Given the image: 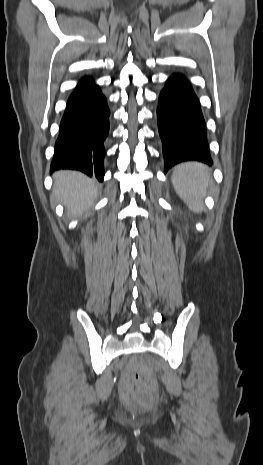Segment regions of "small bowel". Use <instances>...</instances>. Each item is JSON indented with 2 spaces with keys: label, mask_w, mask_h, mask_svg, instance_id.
<instances>
[{
  "label": "small bowel",
  "mask_w": 263,
  "mask_h": 465,
  "mask_svg": "<svg viewBox=\"0 0 263 465\" xmlns=\"http://www.w3.org/2000/svg\"><path fill=\"white\" fill-rule=\"evenodd\" d=\"M134 370H135L134 367L130 366L122 379L120 389H121V394L124 399H128L131 393V390H132L131 374Z\"/></svg>",
  "instance_id": "small-bowel-1"
}]
</instances>
